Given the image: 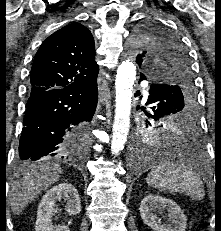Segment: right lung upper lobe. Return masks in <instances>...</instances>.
Returning a JSON list of instances; mask_svg holds the SVG:
<instances>
[{
	"mask_svg": "<svg viewBox=\"0 0 221 231\" xmlns=\"http://www.w3.org/2000/svg\"><path fill=\"white\" fill-rule=\"evenodd\" d=\"M94 39L88 28L71 23L50 35L37 51L30 75V95L97 80Z\"/></svg>",
	"mask_w": 221,
	"mask_h": 231,
	"instance_id": "obj_1",
	"label": "right lung upper lobe"
}]
</instances>
